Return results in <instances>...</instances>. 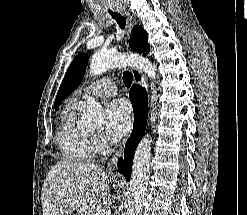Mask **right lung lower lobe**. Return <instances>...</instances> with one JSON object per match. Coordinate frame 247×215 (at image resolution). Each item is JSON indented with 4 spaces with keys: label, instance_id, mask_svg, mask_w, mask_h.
I'll return each mask as SVG.
<instances>
[{
    "label": "right lung lower lobe",
    "instance_id": "1",
    "mask_svg": "<svg viewBox=\"0 0 247 215\" xmlns=\"http://www.w3.org/2000/svg\"><path fill=\"white\" fill-rule=\"evenodd\" d=\"M129 97L134 109V128L125 145L124 158L118 160V169L127 181L131 177L133 155L139 141L144 135L148 115L147 94L143 87L133 85L129 91Z\"/></svg>",
    "mask_w": 247,
    "mask_h": 215
}]
</instances>
